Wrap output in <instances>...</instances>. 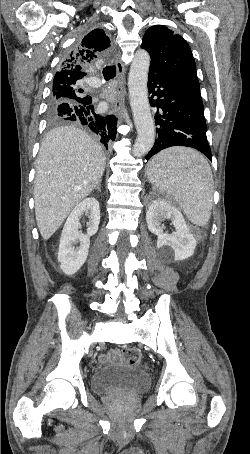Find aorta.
<instances>
[{
  "label": "aorta",
  "instance_id": "obj_1",
  "mask_svg": "<svg viewBox=\"0 0 250 454\" xmlns=\"http://www.w3.org/2000/svg\"><path fill=\"white\" fill-rule=\"evenodd\" d=\"M149 66L148 52L143 49L138 50L131 63L128 78L130 106L138 134L133 146V155L136 157L147 154L155 142V125L150 111L147 88Z\"/></svg>",
  "mask_w": 250,
  "mask_h": 454
}]
</instances>
